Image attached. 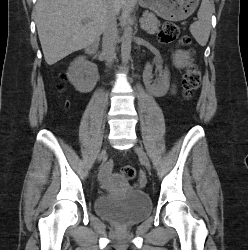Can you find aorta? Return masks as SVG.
I'll return each instance as SVG.
<instances>
[{"instance_id":"762f6f07","label":"aorta","mask_w":248,"mask_h":250,"mask_svg":"<svg viewBox=\"0 0 248 250\" xmlns=\"http://www.w3.org/2000/svg\"><path fill=\"white\" fill-rule=\"evenodd\" d=\"M132 20L129 16L126 18L123 36L121 38V58L122 63L127 65L130 59L131 42H132Z\"/></svg>"}]
</instances>
